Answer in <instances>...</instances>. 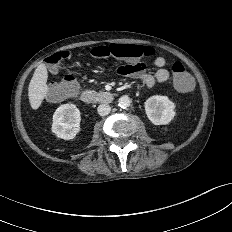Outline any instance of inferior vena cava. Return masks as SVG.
I'll return each mask as SVG.
<instances>
[{"mask_svg":"<svg viewBox=\"0 0 232 232\" xmlns=\"http://www.w3.org/2000/svg\"><path fill=\"white\" fill-rule=\"evenodd\" d=\"M111 107L108 104H101L98 106L97 111L100 116H106L110 113Z\"/></svg>","mask_w":232,"mask_h":232,"instance_id":"1","label":"inferior vena cava"}]
</instances>
